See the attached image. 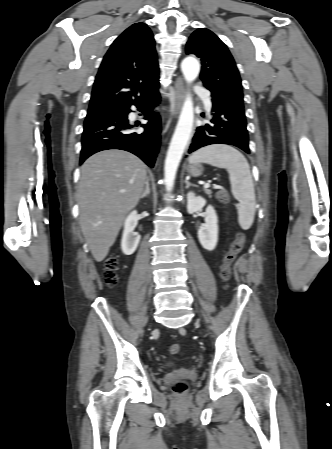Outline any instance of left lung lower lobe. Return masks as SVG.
Here are the masks:
<instances>
[{
    "label": "left lung lower lobe",
    "mask_w": 332,
    "mask_h": 449,
    "mask_svg": "<svg viewBox=\"0 0 332 449\" xmlns=\"http://www.w3.org/2000/svg\"><path fill=\"white\" fill-rule=\"evenodd\" d=\"M212 104V118L209 123L196 129L188 153L211 144H228L249 154V137L244 109L213 98Z\"/></svg>",
    "instance_id": "left-lung-lower-lobe-1"
}]
</instances>
